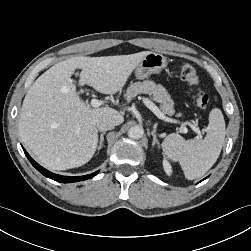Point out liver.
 <instances>
[{
    "label": "liver",
    "mask_w": 251,
    "mask_h": 251,
    "mask_svg": "<svg viewBox=\"0 0 251 251\" xmlns=\"http://www.w3.org/2000/svg\"><path fill=\"white\" fill-rule=\"evenodd\" d=\"M148 53L73 57L44 72L23 100L19 132L25 146L39 162L54 170L86 164L98 145L97 120L107 117L119 125L124 118L113 108H91L85 103L71 78L74 71L81 69V84L103 94H115Z\"/></svg>",
    "instance_id": "obj_1"
}]
</instances>
